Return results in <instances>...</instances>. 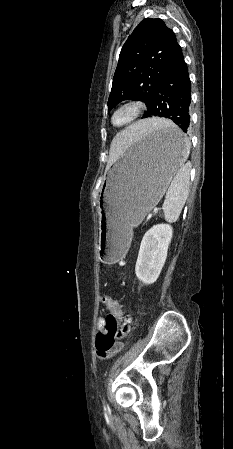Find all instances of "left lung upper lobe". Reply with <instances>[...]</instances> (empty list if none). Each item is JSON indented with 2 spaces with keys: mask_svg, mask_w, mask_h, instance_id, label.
<instances>
[{
  "mask_svg": "<svg viewBox=\"0 0 233 449\" xmlns=\"http://www.w3.org/2000/svg\"><path fill=\"white\" fill-rule=\"evenodd\" d=\"M181 56L176 36L163 20H142L121 49L108 112L127 99H140L149 110L158 83Z\"/></svg>",
  "mask_w": 233,
  "mask_h": 449,
  "instance_id": "5c2ea615",
  "label": "left lung upper lobe"
}]
</instances>
